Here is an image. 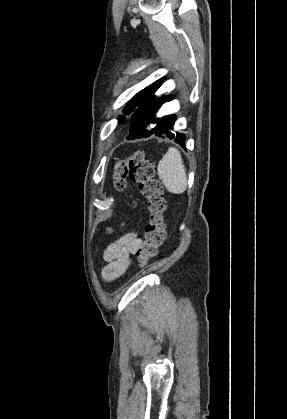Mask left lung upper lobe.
<instances>
[{
	"mask_svg": "<svg viewBox=\"0 0 287 419\" xmlns=\"http://www.w3.org/2000/svg\"><path fill=\"white\" fill-rule=\"evenodd\" d=\"M165 77L158 79L149 86L145 87L139 91L131 100V102L125 107L124 114H130L134 111L135 107H140L146 101L153 99L154 92L161 86ZM125 117L122 116L119 118V123H124Z\"/></svg>",
	"mask_w": 287,
	"mask_h": 419,
	"instance_id": "obj_1",
	"label": "left lung upper lobe"
}]
</instances>
